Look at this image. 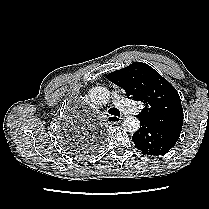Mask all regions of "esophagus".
<instances>
[{"label": "esophagus", "mask_w": 209, "mask_h": 209, "mask_svg": "<svg viewBox=\"0 0 209 209\" xmlns=\"http://www.w3.org/2000/svg\"><path fill=\"white\" fill-rule=\"evenodd\" d=\"M125 117L121 116V117H117V116H108V121L109 123H119L121 122Z\"/></svg>", "instance_id": "34e87169"}]
</instances>
